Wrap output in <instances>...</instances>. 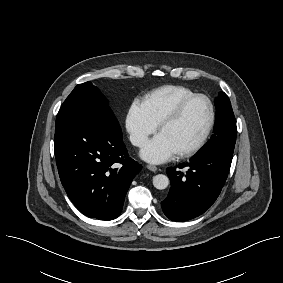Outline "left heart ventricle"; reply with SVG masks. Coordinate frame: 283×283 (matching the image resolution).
<instances>
[{
	"mask_svg": "<svg viewBox=\"0 0 283 283\" xmlns=\"http://www.w3.org/2000/svg\"><path fill=\"white\" fill-rule=\"evenodd\" d=\"M209 118L208 103L204 99H197L187 106L176 122L166 126L160 133L171 142L179 153L194 145L201 138Z\"/></svg>",
	"mask_w": 283,
	"mask_h": 283,
	"instance_id": "obj_1",
	"label": "left heart ventricle"
}]
</instances>
